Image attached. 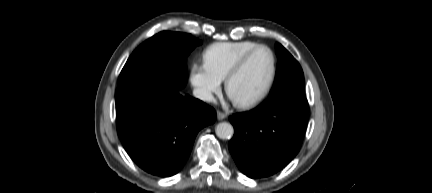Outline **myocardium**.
I'll return each mask as SVG.
<instances>
[{"label":"myocardium","mask_w":432,"mask_h":193,"mask_svg":"<svg viewBox=\"0 0 432 193\" xmlns=\"http://www.w3.org/2000/svg\"><path fill=\"white\" fill-rule=\"evenodd\" d=\"M260 49H266L271 54V58H272L271 73H270V77H269V80H268L265 88L263 89V91L260 94H258L254 98H251L248 100H243V101L233 100L230 96V93H229L231 81L242 70V68L246 65L248 60L251 58V56ZM276 74H277V57H276L275 51L268 45L259 44V45L255 46L254 48L250 49L247 53H245L229 70V72L227 73V75L224 79L225 91H226L227 95L232 99V101L236 107H238L240 109H248V108H251V107L258 105L268 96V94L270 93V91L273 87V84L275 82Z\"/></svg>","instance_id":"myocardium-1"}]
</instances>
